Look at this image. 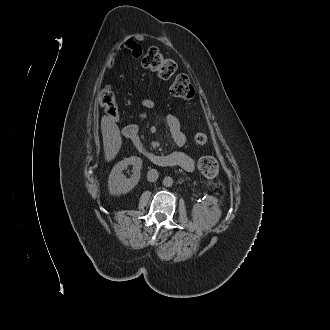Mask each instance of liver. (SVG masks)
I'll use <instances>...</instances> for the list:
<instances>
[{"label": "liver", "instance_id": "obj_1", "mask_svg": "<svg viewBox=\"0 0 330 330\" xmlns=\"http://www.w3.org/2000/svg\"><path fill=\"white\" fill-rule=\"evenodd\" d=\"M103 146L106 161H111L121 148L122 139L116 123L109 117L103 116L101 120Z\"/></svg>", "mask_w": 330, "mask_h": 330}]
</instances>
